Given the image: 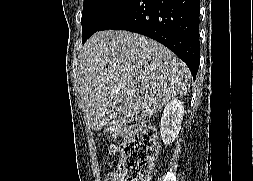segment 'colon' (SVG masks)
Instances as JSON below:
<instances>
[{
  "instance_id": "colon-1",
  "label": "colon",
  "mask_w": 253,
  "mask_h": 181,
  "mask_svg": "<svg viewBox=\"0 0 253 181\" xmlns=\"http://www.w3.org/2000/svg\"><path fill=\"white\" fill-rule=\"evenodd\" d=\"M122 135V161L119 170L109 181H149L150 173L158 156V143L154 127L139 121L113 130L112 136Z\"/></svg>"
}]
</instances>
